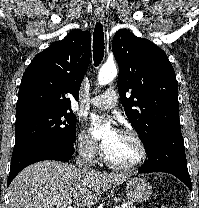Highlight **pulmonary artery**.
<instances>
[{
	"instance_id": "e3ab8cb5",
	"label": "pulmonary artery",
	"mask_w": 199,
	"mask_h": 208,
	"mask_svg": "<svg viewBox=\"0 0 199 208\" xmlns=\"http://www.w3.org/2000/svg\"><path fill=\"white\" fill-rule=\"evenodd\" d=\"M118 94L114 89H107L105 92L92 97L89 103L95 107L111 109L116 106Z\"/></svg>"
}]
</instances>
